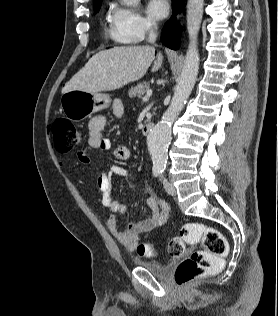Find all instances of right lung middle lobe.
<instances>
[{
	"mask_svg": "<svg viewBox=\"0 0 278 316\" xmlns=\"http://www.w3.org/2000/svg\"><path fill=\"white\" fill-rule=\"evenodd\" d=\"M101 2H102V0L97 2L96 4H94V11L95 12L99 11V9L101 7Z\"/></svg>",
	"mask_w": 278,
	"mask_h": 316,
	"instance_id": "obj_1",
	"label": "right lung middle lobe"
}]
</instances>
